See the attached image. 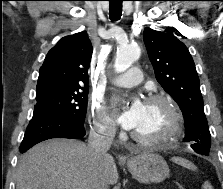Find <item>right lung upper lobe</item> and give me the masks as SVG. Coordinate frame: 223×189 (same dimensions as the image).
<instances>
[{
    "instance_id": "cb5924a9",
    "label": "right lung upper lobe",
    "mask_w": 223,
    "mask_h": 189,
    "mask_svg": "<svg viewBox=\"0 0 223 189\" xmlns=\"http://www.w3.org/2000/svg\"><path fill=\"white\" fill-rule=\"evenodd\" d=\"M92 45L86 31L63 37L40 67L36 92L88 88Z\"/></svg>"
}]
</instances>
